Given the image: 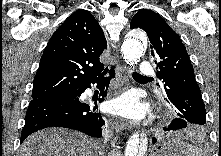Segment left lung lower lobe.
<instances>
[{"mask_svg":"<svg viewBox=\"0 0 221 156\" xmlns=\"http://www.w3.org/2000/svg\"><path fill=\"white\" fill-rule=\"evenodd\" d=\"M188 125H189V123L186 120L181 119V118H175L171 121V123L168 127H164L163 129H164V131H170V130L176 131V130H179L182 128H186ZM152 142L156 143L157 139L153 138Z\"/></svg>","mask_w":221,"mask_h":156,"instance_id":"obj_1","label":"left lung lower lobe"}]
</instances>
